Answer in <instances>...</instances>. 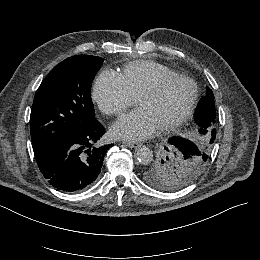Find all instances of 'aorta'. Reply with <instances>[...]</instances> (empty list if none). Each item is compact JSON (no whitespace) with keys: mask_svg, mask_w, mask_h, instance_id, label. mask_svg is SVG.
Wrapping results in <instances>:
<instances>
[{"mask_svg":"<svg viewBox=\"0 0 260 260\" xmlns=\"http://www.w3.org/2000/svg\"><path fill=\"white\" fill-rule=\"evenodd\" d=\"M135 157L140 164L147 165L153 159V152L148 147L143 146L136 150Z\"/></svg>","mask_w":260,"mask_h":260,"instance_id":"obj_1","label":"aorta"}]
</instances>
